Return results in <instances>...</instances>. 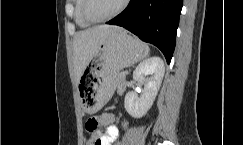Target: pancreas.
Wrapping results in <instances>:
<instances>
[{"instance_id":"pancreas-1","label":"pancreas","mask_w":243,"mask_h":145,"mask_svg":"<svg viewBox=\"0 0 243 145\" xmlns=\"http://www.w3.org/2000/svg\"><path fill=\"white\" fill-rule=\"evenodd\" d=\"M117 85H118V88H124L125 76H123L122 73H118V75H117Z\"/></svg>"}]
</instances>
